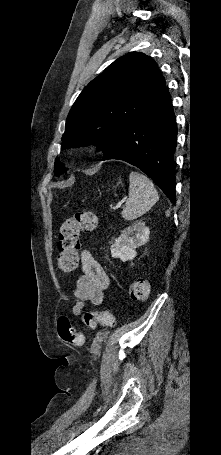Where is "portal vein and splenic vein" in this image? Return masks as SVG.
<instances>
[{"label": "portal vein and splenic vein", "instance_id": "18ae733b", "mask_svg": "<svg viewBox=\"0 0 221 455\" xmlns=\"http://www.w3.org/2000/svg\"><path fill=\"white\" fill-rule=\"evenodd\" d=\"M121 207V204H117L116 206L113 207V210H116Z\"/></svg>", "mask_w": 221, "mask_h": 455}]
</instances>
